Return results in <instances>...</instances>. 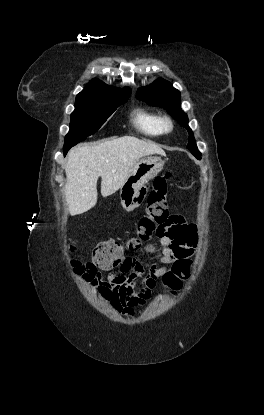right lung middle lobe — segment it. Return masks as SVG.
Listing matches in <instances>:
<instances>
[{"label": "right lung middle lobe", "instance_id": "right-lung-middle-lobe-1", "mask_svg": "<svg viewBox=\"0 0 264 415\" xmlns=\"http://www.w3.org/2000/svg\"><path fill=\"white\" fill-rule=\"evenodd\" d=\"M128 98L129 96L76 99L75 110L71 114L70 131L65 137L63 151L69 150L98 131L107 118Z\"/></svg>", "mask_w": 264, "mask_h": 415}]
</instances>
